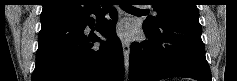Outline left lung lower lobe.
Here are the masks:
<instances>
[{
  "instance_id": "1",
  "label": "left lung lower lobe",
  "mask_w": 237,
  "mask_h": 81,
  "mask_svg": "<svg viewBox=\"0 0 237 81\" xmlns=\"http://www.w3.org/2000/svg\"><path fill=\"white\" fill-rule=\"evenodd\" d=\"M143 30L148 39L131 45L130 81L169 77L211 81L199 23L167 21L155 28L143 24Z\"/></svg>"
}]
</instances>
